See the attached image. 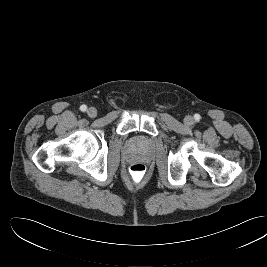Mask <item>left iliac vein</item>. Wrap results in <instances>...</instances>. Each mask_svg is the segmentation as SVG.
I'll return each mask as SVG.
<instances>
[{
	"label": "left iliac vein",
	"instance_id": "1",
	"mask_svg": "<svg viewBox=\"0 0 267 267\" xmlns=\"http://www.w3.org/2000/svg\"><path fill=\"white\" fill-rule=\"evenodd\" d=\"M184 123L188 126H191L194 124V119L192 116L188 115L184 118Z\"/></svg>",
	"mask_w": 267,
	"mask_h": 267
}]
</instances>
